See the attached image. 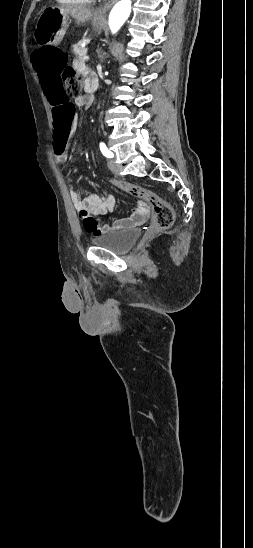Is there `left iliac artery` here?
Masks as SVG:
<instances>
[{
    "instance_id": "left-iliac-artery-1",
    "label": "left iliac artery",
    "mask_w": 253,
    "mask_h": 548,
    "mask_svg": "<svg viewBox=\"0 0 253 548\" xmlns=\"http://www.w3.org/2000/svg\"><path fill=\"white\" fill-rule=\"evenodd\" d=\"M100 150L102 154L107 158H112L114 156L113 153L106 147V145L103 142L100 143Z\"/></svg>"
}]
</instances>
